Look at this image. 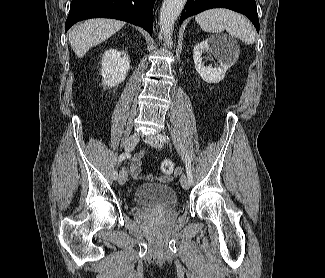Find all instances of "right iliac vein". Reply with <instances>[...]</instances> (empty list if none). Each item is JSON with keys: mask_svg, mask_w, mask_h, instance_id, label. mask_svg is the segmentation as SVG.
Returning a JSON list of instances; mask_svg holds the SVG:
<instances>
[{"mask_svg": "<svg viewBox=\"0 0 325 278\" xmlns=\"http://www.w3.org/2000/svg\"><path fill=\"white\" fill-rule=\"evenodd\" d=\"M138 141H139V134L138 133L132 134L130 137H128V139L125 143V150L127 152L132 151L135 148ZM118 180H119L120 185H124L126 183L127 173L125 170L120 171Z\"/></svg>", "mask_w": 325, "mask_h": 278, "instance_id": "1", "label": "right iliac vein"}]
</instances>
